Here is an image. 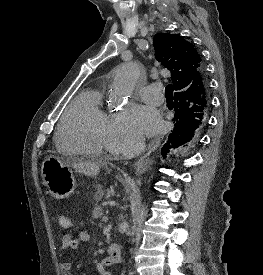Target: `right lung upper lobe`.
<instances>
[{
    "instance_id": "obj_1",
    "label": "right lung upper lobe",
    "mask_w": 263,
    "mask_h": 275,
    "mask_svg": "<svg viewBox=\"0 0 263 275\" xmlns=\"http://www.w3.org/2000/svg\"><path fill=\"white\" fill-rule=\"evenodd\" d=\"M156 59L171 71L175 94L184 95L183 105L207 116L210 107L207 80L199 74L203 67L194 46L178 34L157 33L154 37Z\"/></svg>"
}]
</instances>
